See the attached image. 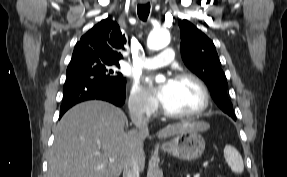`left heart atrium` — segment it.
<instances>
[{"label":"left heart atrium","instance_id":"1","mask_svg":"<svg viewBox=\"0 0 287 177\" xmlns=\"http://www.w3.org/2000/svg\"><path fill=\"white\" fill-rule=\"evenodd\" d=\"M147 84L149 85V87L153 90V92L155 93L156 97L163 102V100L166 97V94L169 90V88L171 87L173 80H167L166 83H164L161 86L156 87L154 85V82L152 79H147L146 80Z\"/></svg>","mask_w":287,"mask_h":177}]
</instances>
